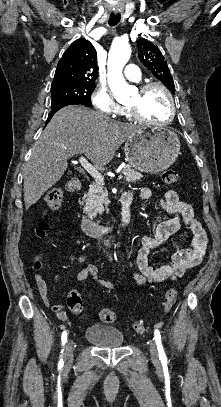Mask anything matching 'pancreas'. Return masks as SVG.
<instances>
[{"label":"pancreas","mask_w":221,"mask_h":407,"mask_svg":"<svg viewBox=\"0 0 221 407\" xmlns=\"http://www.w3.org/2000/svg\"><path fill=\"white\" fill-rule=\"evenodd\" d=\"M122 173L125 175V180L129 183H134L143 177L141 173L136 172L129 166H125ZM107 195L108 193L102 184H92L88 193L84 196V212L87 213L90 218L96 217L98 213L102 214L104 211V205H107L109 202Z\"/></svg>","instance_id":"pancreas-1"}]
</instances>
